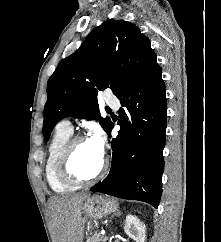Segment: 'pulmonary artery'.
Masks as SVG:
<instances>
[{
    "instance_id": "e3ab8cb5",
    "label": "pulmonary artery",
    "mask_w": 221,
    "mask_h": 242,
    "mask_svg": "<svg viewBox=\"0 0 221 242\" xmlns=\"http://www.w3.org/2000/svg\"><path fill=\"white\" fill-rule=\"evenodd\" d=\"M106 103L111 106V107H118L119 103H118V100L117 99H108L106 101ZM58 129L62 130V131H66L68 133H71L73 132V126L71 124V122L69 120H62L58 126H57Z\"/></svg>"
}]
</instances>
